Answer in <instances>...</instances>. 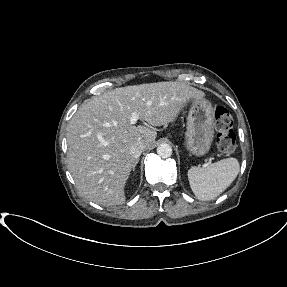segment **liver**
<instances>
[{"label": "liver", "mask_w": 287, "mask_h": 287, "mask_svg": "<svg viewBox=\"0 0 287 287\" xmlns=\"http://www.w3.org/2000/svg\"><path fill=\"white\" fill-rule=\"evenodd\" d=\"M204 93L185 82L126 86L82 104L67 125V165L81 196L101 206L125 202L124 188L137 142L149 149L157 132L131 124L133 114L151 126L173 122L192 99Z\"/></svg>", "instance_id": "6515ba94"}]
</instances>
